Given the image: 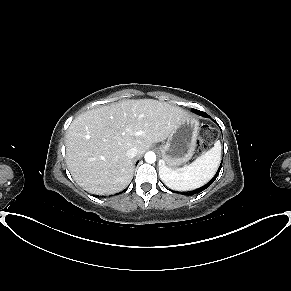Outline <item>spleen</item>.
<instances>
[{"instance_id": "1", "label": "spleen", "mask_w": 291, "mask_h": 291, "mask_svg": "<svg viewBox=\"0 0 291 291\" xmlns=\"http://www.w3.org/2000/svg\"><path fill=\"white\" fill-rule=\"evenodd\" d=\"M221 156V145L217 141L209 151L188 166L172 170L165 165L159 167L161 180L171 189L194 190L207 183L215 174Z\"/></svg>"}]
</instances>
